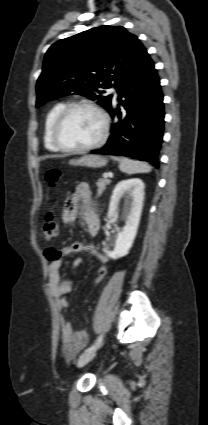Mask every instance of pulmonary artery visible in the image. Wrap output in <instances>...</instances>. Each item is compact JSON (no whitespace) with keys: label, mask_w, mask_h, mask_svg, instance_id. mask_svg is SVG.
Returning <instances> with one entry per match:
<instances>
[{"label":"pulmonary artery","mask_w":208,"mask_h":425,"mask_svg":"<svg viewBox=\"0 0 208 425\" xmlns=\"http://www.w3.org/2000/svg\"><path fill=\"white\" fill-rule=\"evenodd\" d=\"M109 92L113 94V96H114L115 99L118 97L117 92L115 91V89L111 88L109 90Z\"/></svg>","instance_id":"obj_1"}]
</instances>
